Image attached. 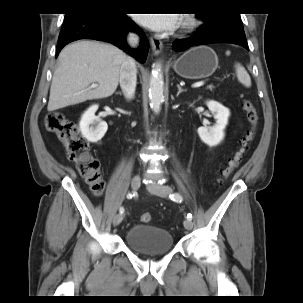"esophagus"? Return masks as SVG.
<instances>
[{
	"instance_id": "esophagus-1",
	"label": "esophagus",
	"mask_w": 303,
	"mask_h": 303,
	"mask_svg": "<svg viewBox=\"0 0 303 303\" xmlns=\"http://www.w3.org/2000/svg\"><path fill=\"white\" fill-rule=\"evenodd\" d=\"M150 43H151L153 54L158 55L162 50V46H163L162 41L156 36H151Z\"/></svg>"
}]
</instances>
